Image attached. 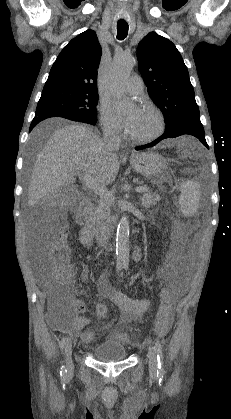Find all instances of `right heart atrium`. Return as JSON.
Masks as SVG:
<instances>
[{
	"mask_svg": "<svg viewBox=\"0 0 231 419\" xmlns=\"http://www.w3.org/2000/svg\"><path fill=\"white\" fill-rule=\"evenodd\" d=\"M99 118L101 126L106 134L119 136L122 133V125L113 114L110 105L105 101H102L99 105Z\"/></svg>",
	"mask_w": 231,
	"mask_h": 419,
	"instance_id": "1",
	"label": "right heart atrium"
}]
</instances>
